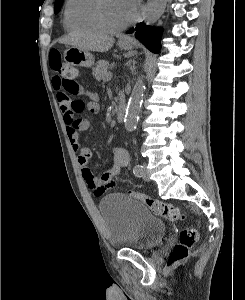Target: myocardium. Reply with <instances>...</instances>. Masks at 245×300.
I'll list each match as a JSON object with an SVG mask.
<instances>
[{
  "label": "myocardium",
  "mask_w": 245,
  "mask_h": 300,
  "mask_svg": "<svg viewBox=\"0 0 245 300\" xmlns=\"http://www.w3.org/2000/svg\"><path fill=\"white\" fill-rule=\"evenodd\" d=\"M102 0H91L89 6V19L91 23L102 33H118L125 28H127L134 20L135 15H133L128 21L117 27H109L105 25L100 17V5Z\"/></svg>",
  "instance_id": "myocardium-1"
}]
</instances>
